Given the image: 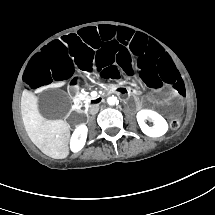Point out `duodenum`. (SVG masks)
Returning a JSON list of instances; mask_svg holds the SVG:
<instances>
[{
    "instance_id": "1",
    "label": "duodenum",
    "mask_w": 215,
    "mask_h": 215,
    "mask_svg": "<svg viewBox=\"0 0 215 215\" xmlns=\"http://www.w3.org/2000/svg\"><path fill=\"white\" fill-rule=\"evenodd\" d=\"M110 95H115L117 97H120L122 100H128L133 94L132 92L124 87L119 86H112L110 89H108L105 93L91 99L92 104H100L103 102L104 98ZM80 107V102L75 103V108L78 110Z\"/></svg>"
}]
</instances>
